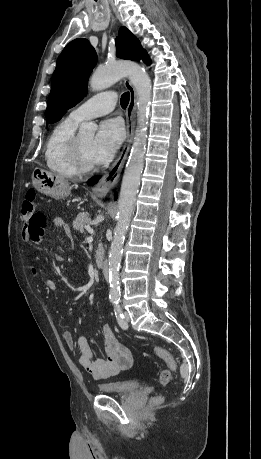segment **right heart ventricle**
<instances>
[{
  "mask_svg": "<svg viewBox=\"0 0 261 459\" xmlns=\"http://www.w3.org/2000/svg\"><path fill=\"white\" fill-rule=\"evenodd\" d=\"M78 123V120L70 116L60 121L53 127L45 143L44 158L47 167L65 177L79 174L70 155V146Z\"/></svg>",
  "mask_w": 261,
  "mask_h": 459,
  "instance_id": "right-heart-ventricle-1",
  "label": "right heart ventricle"
}]
</instances>
